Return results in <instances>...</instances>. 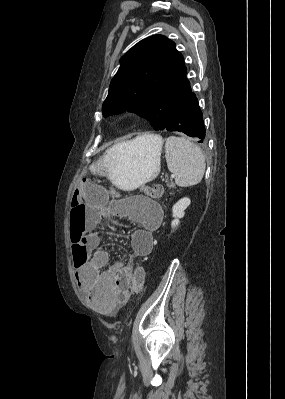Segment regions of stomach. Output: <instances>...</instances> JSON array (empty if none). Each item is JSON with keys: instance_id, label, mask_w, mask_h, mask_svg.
<instances>
[{"instance_id": "0dacf381", "label": "stomach", "mask_w": 285, "mask_h": 399, "mask_svg": "<svg viewBox=\"0 0 285 399\" xmlns=\"http://www.w3.org/2000/svg\"><path fill=\"white\" fill-rule=\"evenodd\" d=\"M163 141L146 135L114 145L90 167L124 190H133L154 180L160 173Z\"/></svg>"}]
</instances>
